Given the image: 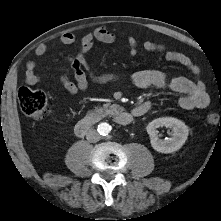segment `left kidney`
I'll use <instances>...</instances> for the list:
<instances>
[{
  "instance_id": "1",
  "label": "left kidney",
  "mask_w": 221,
  "mask_h": 221,
  "mask_svg": "<svg viewBox=\"0 0 221 221\" xmlns=\"http://www.w3.org/2000/svg\"><path fill=\"white\" fill-rule=\"evenodd\" d=\"M167 127L172 129V137L167 140L158 138L157 128ZM147 133L150 135L151 146L160 153H172L179 150L187 140L189 129L184 122L172 117L157 118L150 122L147 127Z\"/></svg>"
}]
</instances>
